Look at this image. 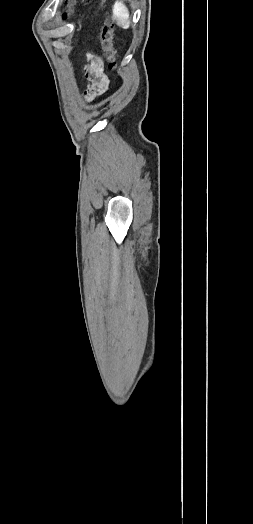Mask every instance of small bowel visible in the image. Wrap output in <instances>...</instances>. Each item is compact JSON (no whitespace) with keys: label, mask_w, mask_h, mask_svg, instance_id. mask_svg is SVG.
<instances>
[{"label":"small bowel","mask_w":253,"mask_h":524,"mask_svg":"<svg viewBox=\"0 0 253 524\" xmlns=\"http://www.w3.org/2000/svg\"><path fill=\"white\" fill-rule=\"evenodd\" d=\"M88 59L89 65L85 74L89 85L84 94L87 99H92L103 95L108 90L109 80L103 72L101 60L94 55H89Z\"/></svg>","instance_id":"obj_1"}]
</instances>
